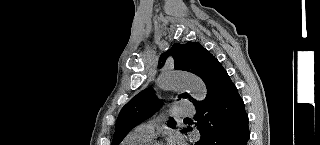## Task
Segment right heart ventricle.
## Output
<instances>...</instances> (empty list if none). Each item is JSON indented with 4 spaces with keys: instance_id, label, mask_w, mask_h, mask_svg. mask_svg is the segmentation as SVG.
<instances>
[{
    "instance_id": "right-heart-ventricle-1",
    "label": "right heart ventricle",
    "mask_w": 320,
    "mask_h": 145,
    "mask_svg": "<svg viewBox=\"0 0 320 145\" xmlns=\"http://www.w3.org/2000/svg\"><path fill=\"white\" fill-rule=\"evenodd\" d=\"M150 141L151 138L134 130L123 139L121 145H146Z\"/></svg>"
}]
</instances>
